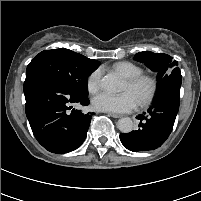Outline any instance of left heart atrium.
Instances as JSON below:
<instances>
[{
	"instance_id": "1",
	"label": "left heart atrium",
	"mask_w": 201,
	"mask_h": 201,
	"mask_svg": "<svg viewBox=\"0 0 201 201\" xmlns=\"http://www.w3.org/2000/svg\"><path fill=\"white\" fill-rule=\"evenodd\" d=\"M137 99L130 91L121 94L101 93L93 98L95 110L108 113H126L137 106Z\"/></svg>"
}]
</instances>
